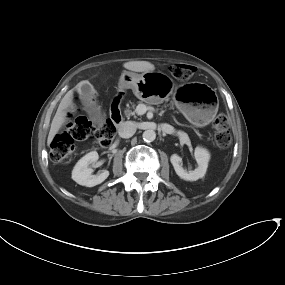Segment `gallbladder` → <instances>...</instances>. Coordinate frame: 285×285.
Wrapping results in <instances>:
<instances>
[{
    "mask_svg": "<svg viewBox=\"0 0 285 285\" xmlns=\"http://www.w3.org/2000/svg\"><path fill=\"white\" fill-rule=\"evenodd\" d=\"M80 100L90 119L97 122L104 119L101 106L95 100L96 91L89 82H84L80 88Z\"/></svg>",
    "mask_w": 285,
    "mask_h": 285,
    "instance_id": "gallbladder-1",
    "label": "gallbladder"
}]
</instances>
